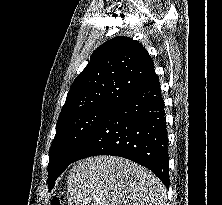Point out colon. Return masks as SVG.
I'll use <instances>...</instances> for the list:
<instances>
[{
    "instance_id": "obj_1",
    "label": "colon",
    "mask_w": 222,
    "mask_h": 205,
    "mask_svg": "<svg viewBox=\"0 0 222 205\" xmlns=\"http://www.w3.org/2000/svg\"><path fill=\"white\" fill-rule=\"evenodd\" d=\"M50 205H62V197L60 193L51 197Z\"/></svg>"
}]
</instances>
